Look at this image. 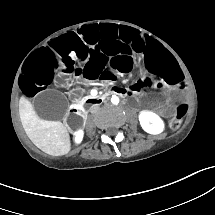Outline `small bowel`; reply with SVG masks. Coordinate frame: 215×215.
Instances as JSON below:
<instances>
[{"mask_svg": "<svg viewBox=\"0 0 215 215\" xmlns=\"http://www.w3.org/2000/svg\"><path fill=\"white\" fill-rule=\"evenodd\" d=\"M123 92L126 93H130L131 95H135L137 93V89L135 87L131 88V89H123Z\"/></svg>", "mask_w": 215, "mask_h": 215, "instance_id": "1", "label": "small bowel"}]
</instances>
